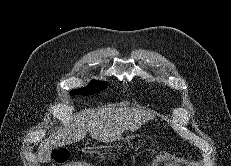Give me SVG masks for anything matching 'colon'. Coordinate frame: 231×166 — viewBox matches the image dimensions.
<instances>
[{"mask_svg": "<svg viewBox=\"0 0 231 166\" xmlns=\"http://www.w3.org/2000/svg\"><path fill=\"white\" fill-rule=\"evenodd\" d=\"M53 160L57 163H64L69 158V153L65 149H59L53 152Z\"/></svg>", "mask_w": 231, "mask_h": 166, "instance_id": "1", "label": "colon"}]
</instances>
